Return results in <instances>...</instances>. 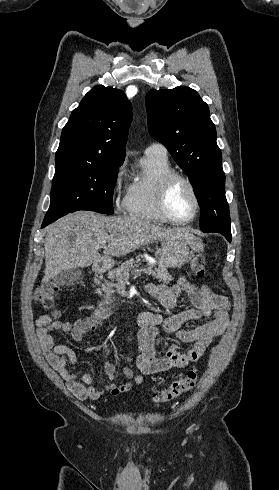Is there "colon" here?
I'll return each mask as SVG.
<instances>
[{"mask_svg": "<svg viewBox=\"0 0 279 490\" xmlns=\"http://www.w3.org/2000/svg\"><path fill=\"white\" fill-rule=\"evenodd\" d=\"M190 266L193 274L197 277H204L207 273V258L203 253H196L190 261ZM60 290L58 283L49 282L44 285L37 293L38 300L45 307H51L57 293ZM54 317H60L61 311L54 310L52 312ZM198 371L196 368H191L187 373L174 380L168 387L154 395V401L156 403H167L178 399L185 393L191 391L197 384Z\"/></svg>", "mask_w": 279, "mask_h": 490, "instance_id": "colon-1", "label": "colon"}]
</instances>
